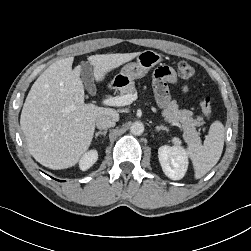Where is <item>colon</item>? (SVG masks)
<instances>
[{"label":"colon","mask_w":251,"mask_h":251,"mask_svg":"<svg viewBox=\"0 0 251 251\" xmlns=\"http://www.w3.org/2000/svg\"><path fill=\"white\" fill-rule=\"evenodd\" d=\"M178 74L183 79H190L195 75L194 67L188 62L182 61L178 64ZM203 114L209 118L212 114V104L209 96H205L200 102Z\"/></svg>","instance_id":"1"}]
</instances>
